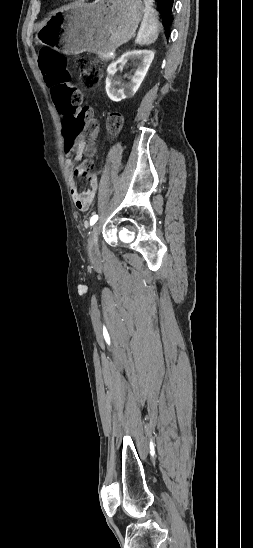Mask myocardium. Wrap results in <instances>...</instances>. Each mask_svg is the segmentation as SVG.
I'll use <instances>...</instances> for the list:
<instances>
[{
  "instance_id": "myocardium-1",
  "label": "myocardium",
  "mask_w": 253,
  "mask_h": 548,
  "mask_svg": "<svg viewBox=\"0 0 253 548\" xmlns=\"http://www.w3.org/2000/svg\"><path fill=\"white\" fill-rule=\"evenodd\" d=\"M66 1H78V0H66Z\"/></svg>"
}]
</instances>
